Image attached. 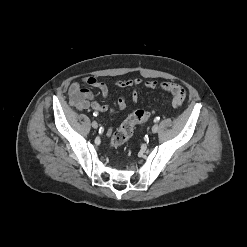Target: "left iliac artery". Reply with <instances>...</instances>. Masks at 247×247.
I'll return each mask as SVG.
<instances>
[{"label": "left iliac artery", "mask_w": 247, "mask_h": 247, "mask_svg": "<svg viewBox=\"0 0 247 247\" xmlns=\"http://www.w3.org/2000/svg\"><path fill=\"white\" fill-rule=\"evenodd\" d=\"M160 120V117H156L155 119H154V122H158Z\"/></svg>", "instance_id": "obj_1"}]
</instances>
